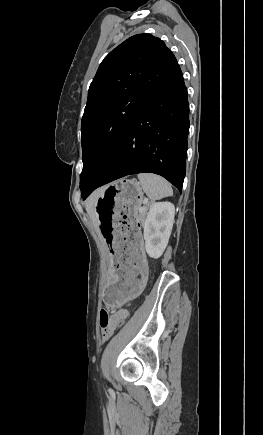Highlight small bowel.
<instances>
[{
    "label": "small bowel",
    "instance_id": "obj_1",
    "mask_svg": "<svg viewBox=\"0 0 263 435\" xmlns=\"http://www.w3.org/2000/svg\"><path fill=\"white\" fill-rule=\"evenodd\" d=\"M128 315V312L124 309L119 310L115 315V320H124ZM104 328L106 330H114L116 328V323L114 321H106L104 323Z\"/></svg>",
    "mask_w": 263,
    "mask_h": 435
}]
</instances>
